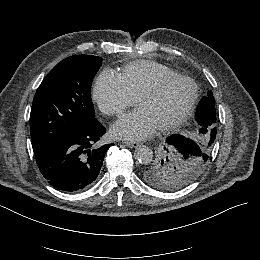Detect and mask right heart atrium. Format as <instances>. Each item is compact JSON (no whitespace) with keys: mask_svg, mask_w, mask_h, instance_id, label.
Instances as JSON below:
<instances>
[{"mask_svg":"<svg viewBox=\"0 0 260 260\" xmlns=\"http://www.w3.org/2000/svg\"><path fill=\"white\" fill-rule=\"evenodd\" d=\"M93 98L100 111L109 117L118 116L134 104V98L128 92L120 77L113 72H101L94 84Z\"/></svg>","mask_w":260,"mask_h":260,"instance_id":"d8ad5b80","label":"right heart atrium"}]
</instances>
